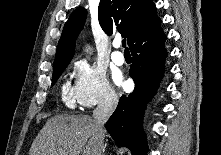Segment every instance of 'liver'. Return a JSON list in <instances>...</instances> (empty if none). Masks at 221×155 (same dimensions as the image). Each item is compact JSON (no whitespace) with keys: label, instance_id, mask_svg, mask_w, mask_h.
<instances>
[{"label":"liver","instance_id":"6515ba94","mask_svg":"<svg viewBox=\"0 0 221 155\" xmlns=\"http://www.w3.org/2000/svg\"><path fill=\"white\" fill-rule=\"evenodd\" d=\"M98 155L97 128L87 115H57L47 120L29 155Z\"/></svg>","mask_w":221,"mask_h":155}]
</instances>
